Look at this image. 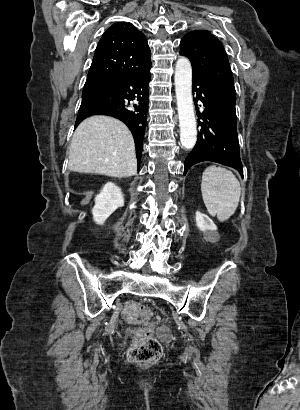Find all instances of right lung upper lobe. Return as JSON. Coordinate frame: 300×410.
I'll return each instance as SVG.
<instances>
[{"label":"right lung upper lobe","instance_id":"right-lung-upper-lobe-1","mask_svg":"<svg viewBox=\"0 0 300 410\" xmlns=\"http://www.w3.org/2000/svg\"><path fill=\"white\" fill-rule=\"evenodd\" d=\"M151 52L145 35L131 23L113 24L100 39L86 82L106 84L127 73L151 67ZM140 148H136L139 154Z\"/></svg>","mask_w":300,"mask_h":410}]
</instances>
